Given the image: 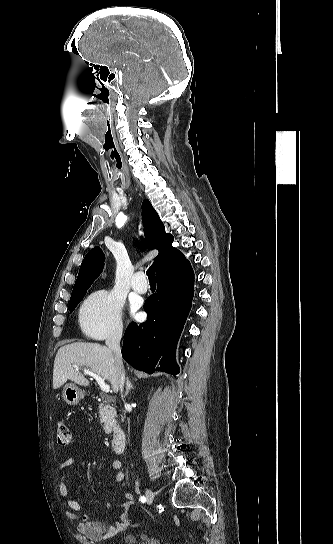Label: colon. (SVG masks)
<instances>
[{"label": "colon", "instance_id": "5ec220e1", "mask_svg": "<svg viewBox=\"0 0 333 544\" xmlns=\"http://www.w3.org/2000/svg\"><path fill=\"white\" fill-rule=\"evenodd\" d=\"M56 440L60 446H69L72 442V434L64 421L56 422Z\"/></svg>", "mask_w": 333, "mask_h": 544}]
</instances>
